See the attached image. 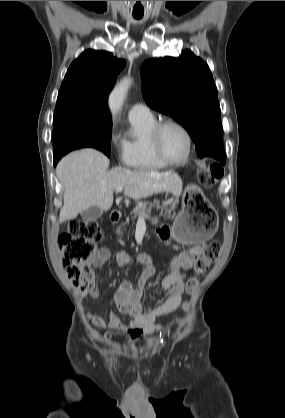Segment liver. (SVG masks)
Returning a JSON list of instances; mask_svg holds the SVG:
<instances>
[{"mask_svg": "<svg viewBox=\"0 0 285 418\" xmlns=\"http://www.w3.org/2000/svg\"><path fill=\"white\" fill-rule=\"evenodd\" d=\"M108 167L109 159L94 149L79 150L60 160L56 167L64 188L60 223L76 218L93 205L108 211L117 187H123L124 195L136 200L164 191L179 197L182 192L181 178L171 171H132L122 167L107 171Z\"/></svg>", "mask_w": 285, "mask_h": 418, "instance_id": "6515ba94", "label": "liver"}]
</instances>
